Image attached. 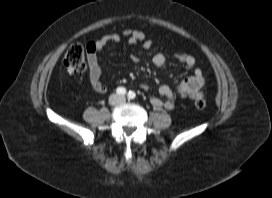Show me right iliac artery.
<instances>
[{"mask_svg":"<svg viewBox=\"0 0 272 198\" xmlns=\"http://www.w3.org/2000/svg\"><path fill=\"white\" fill-rule=\"evenodd\" d=\"M116 92H117L118 95L123 96V95L126 94V89L124 87H118Z\"/></svg>","mask_w":272,"mask_h":198,"instance_id":"1","label":"right iliac artery"}]
</instances>
